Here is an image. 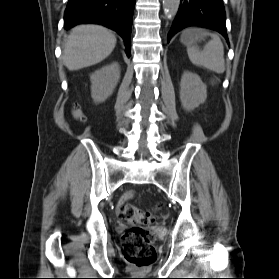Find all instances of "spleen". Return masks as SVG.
<instances>
[{
    "mask_svg": "<svg viewBox=\"0 0 279 279\" xmlns=\"http://www.w3.org/2000/svg\"><path fill=\"white\" fill-rule=\"evenodd\" d=\"M211 36V40L205 44L203 50L189 44L187 48L190 61L198 66H203L215 73L225 71L224 47L220 37L214 33H203Z\"/></svg>",
    "mask_w": 279,
    "mask_h": 279,
    "instance_id": "3e777b00",
    "label": "spleen"
}]
</instances>
